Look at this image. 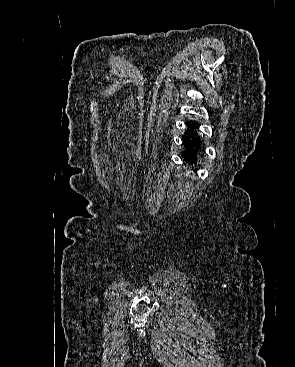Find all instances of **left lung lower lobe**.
Listing matches in <instances>:
<instances>
[{"instance_id":"1","label":"left lung lower lobe","mask_w":295,"mask_h":367,"mask_svg":"<svg viewBox=\"0 0 295 367\" xmlns=\"http://www.w3.org/2000/svg\"><path fill=\"white\" fill-rule=\"evenodd\" d=\"M187 131L183 136V143L185 146V150L182 152V157L186 162H193L196 159L197 152L200 149L202 144V140L198 135V123L197 122H190L188 123Z\"/></svg>"}]
</instances>
